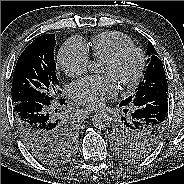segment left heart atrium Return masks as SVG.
<instances>
[{"label":"left heart atrium","mask_w":184,"mask_h":184,"mask_svg":"<svg viewBox=\"0 0 184 184\" xmlns=\"http://www.w3.org/2000/svg\"><path fill=\"white\" fill-rule=\"evenodd\" d=\"M118 92L117 81L111 75L88 76L70 87L73 99L87 108H97Z\"/></svg>","instance_id":"left-heart-atrium-1"}]
</instances>
